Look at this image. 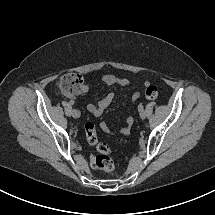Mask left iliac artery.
I'll use <instances>...</instances> for the list:
<instances>
[{
    "label": "left iliac artery",
    "mask_w": 215,
    "mask_h": 215,
    "mask_svg": "<svg viewBox=\"0 0 215 215\" xmlns=\"http://www.w3.org/2000/svg\"><path fill=\"white\" fill-rule=\"evenodd\" d=\"M137 112H138V113H142V112H143V108H142V107H139V108L137 109Z\"/></svg>",
    "instance_id": "1"
}]
</instances>
